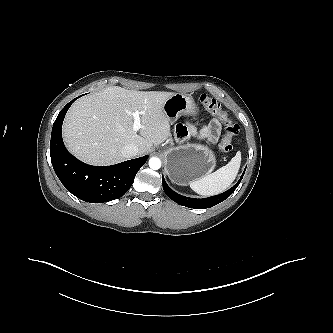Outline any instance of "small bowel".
Instances as JSON below:
<instances>
[{
	"instance_id": "obj_1",
	"label": "small bowel",
	"mask_w": 333,
	"mask_h": 333,
	"mask_svg": "<svg viewBox=\"0 0 333 333\" xmlns=\"http://www.w3.org/2000/svg\"><path fill=\"white\" fill-rule=\"evenodd\" d=\"M221 131V125L218 121L214 120L211 124L202 130L201 135L208 137L211 140H214Z\"/></svg>"
}]
</instances>
